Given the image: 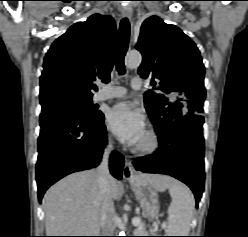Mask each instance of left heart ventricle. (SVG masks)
<instances>
[{
	"mask_svg": "<svg viewBox=\"0 0 248 237\" xmlns=\"http://www.w3.org/2000/svg\"><path fill=\"white\" fill-rule=\"evenodd\" d=\"M145 137H146V136H144V137L142 138V140H141L139 143L144 142V141H145Z\"/></svg>",
	"mask_w": 248,
	"mask_h": 237,
	"instance_id": "obj_1",
	"label": "left heart ventricle"
}]
</instances>
